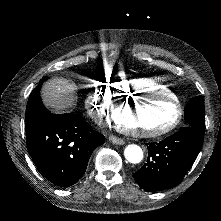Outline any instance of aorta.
I'll return each mask as SVG.
<instances>
[{
  "label": "aorta",
  "mask_w": 221,
  "mask_h": 221,
  "mask_svg": "<svg viewBox=\"0 0 221 221\" xmlns=\"http://www.w3.org/2000/svg\"><path fill=\"white\" fill-rule=\"evenodd\" d=\"M124 156L126 160L132 164H138L143 159V151L140 146L135 144H130L126 146L124 150Z\"/></svg>",
  "instance_id": "obj_1"
}]
</instances>
